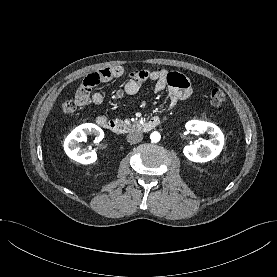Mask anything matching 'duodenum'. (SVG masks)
Wrapping results in <instances>:
<instances>
[{
  "instance_id": "obj_1",
  "label": "duodenum",
  "mask_w": 277,
  "mask_h": 277,
  "mask_svg": "<svg viewBox=\"0 0 277 277\" xmlns=\"http://www.w3.org/2000/svg\"><path fill=\"white\" fill-rule=\"evenodd\" d=\"M97 124L100 127L104 128L112 133H115V134L121 133V126L114 120L102 118V119L98 120ZM159 124H160V119L158 117H153L150 120L146 121L143 124L142 128L144 131H150V130L154 129L155 127H157Z\"/></svg>"
}]
</instances>
